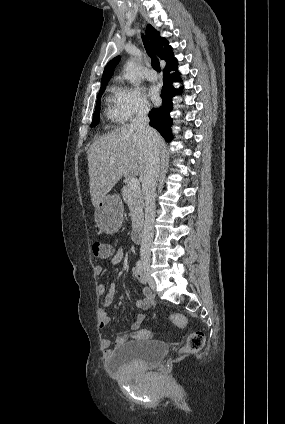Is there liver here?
<instances>
[{"instance_id": "liver-1", "label": "liver", "mask_w": 285, "mask_h": 424, "mask_svg": "<svg viewBox=\"0 0 285 424\" xmlns=\"http://www.w3.org/2000/svg\"><path fill=\"white\" fill-rule=\"evenodd\" d=\"M161 140L156 132L159 146ZM87 159L91 201L97 207L123 176H139L142 180L147 166L145 140L131 125H123L93 142L87 150Z\"/></svg>"}]
</instances>
